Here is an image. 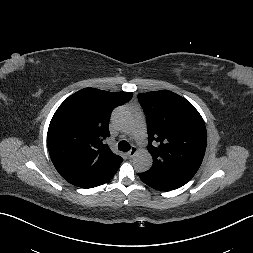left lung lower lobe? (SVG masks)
I'll return each instance as SVG.
<instances>
[{"label":"left lung lower lobe","mask_w":253,"mask_h":253,"mask_svg":"<svg viewBox=\"0 0 253 253\" xmlns=\"http://www.w3.org/2000/svg\"><path fill=\"white\" fill-rule=\"evenodd\" d=\"M138 175L148 186L160 191H170L186 184L180 180L156 177L147 173H139Z\"/></svg>","instance_id":"obj_1"}]
</instances>
